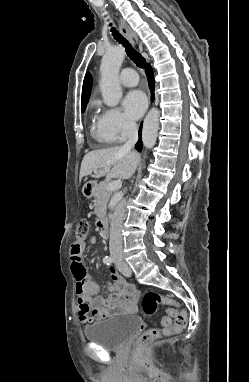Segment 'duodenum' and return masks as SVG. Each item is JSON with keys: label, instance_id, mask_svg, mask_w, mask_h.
<instances>
[{"label": "duodenum", "instance_id": "obj_1", "mask_svg": "<svg viewBox=\"0 0 249 382\" xmlns=\"http://www.w3.org/2000/svg\"><path fill=\"white\" fill-rule=\"evenodd\" d=\"M97 227H98L99 233L103 237H105V238L109 237L108 223H107V221L104 218H101V219L98 220Z\"/></svg>", "mask_w": 249, "mask_h": 382}]
</instances>
